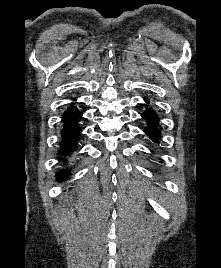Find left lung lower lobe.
<instances>
[{
    "mask_svg": "<svg viewBox=\"0 0 221 268\" xmlns=\"http://www.w3.org/2000/svg\"><path fill=\"white\" fill-rule=\"evenodd\" d=\"M148 102V100H146ZM142 117L149 123L148 127L144 129V132L149 135L152 140H157L160 137V130L156 126L158 123V116L152 109H147L142 113Z\"/></svg>",
    "mask_w": 221,
    "mask_h": 268,
    "instance_id": "obj_1",
    "label": "left lung lower lobe"
}]
</instances>
